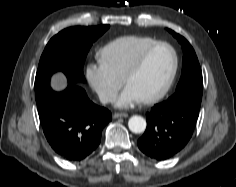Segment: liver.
Instances as JSON below:
<instances>
[{
  "mask_svg": "<svg viewBox=\"0 0 236 187\" xmlns=\"http://www.w3.org/2000/svg\"><path fill=\"white\" fill-rule=\"evenodd\" d=\"M66 87L65 78L62 74H57L52 78V88L62 90Z\"/></svg>",
  "mask_w": 236,
  "mask_h": 187,
  "instance_id": "1",
  "label": "liver"
}]
</instances>
